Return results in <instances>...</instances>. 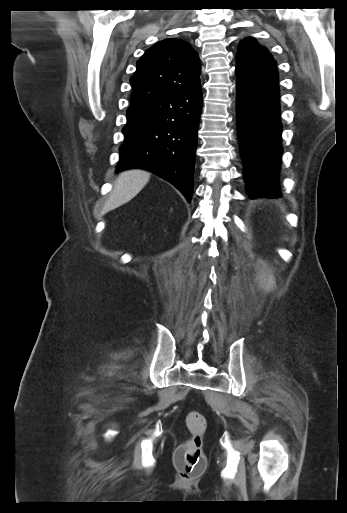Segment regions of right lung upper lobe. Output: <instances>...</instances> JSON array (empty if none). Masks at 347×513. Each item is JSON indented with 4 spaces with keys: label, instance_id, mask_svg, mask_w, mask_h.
Listing matches in <instances>:
<instances>
[{
    "label": "right lung upper lobe",
    "instance_id": "obj_1",
    "mask_svg": "<svg viewBox=\"0 0 347 513\" xmlns=\"http://www.w3.org/2000/svg\"><path fill=\"white\" fill-rule=\"evenodd\" d=\"M197 52L179 39H165L148 49L130 79L132 104L140 105L201 88Z\"/></svg>",
    "mask_w": 347,
    "mask_h": 513
}]
</instances>
